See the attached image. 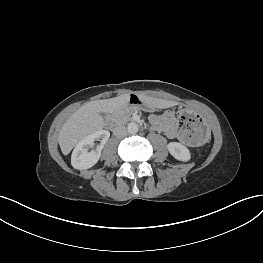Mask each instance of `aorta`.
Masks as SVG:
<instances>
[{"instance_id":"1","label":"aorta","mask_w":263,"mask_h":263,"mask_svg":"<svg viewBox=\"0 0 263 263\" xmlns=\"http://www.w3.org/2000/svg\"><path fill=\"white\" fill-rule=\"evenodd\" d=\"M127 132L130 134H135L138 132V124L131 122L127 125Z\"/></svg>"}]
</instances>
